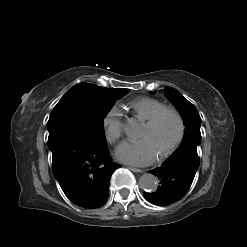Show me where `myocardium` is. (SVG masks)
Listing matches in <instances>:
<instances>
[{"mask_svg":"<svg viewBox=\"0 0 247 247\" xmlns=\"http://www.w3.org/2000/svg\"><path fill=\"white\" fill-rule=\"evenodd\" d=\"M167 115H171L175 118L177 122V133L172 142L159 153L160 158H165L169 156L182 142L185 135L184 118L177 109L172 107H164L163 109L155 113L151 118L146 120L144 123V125H146L147 127L153 128L161 121L163 117Z\"/></svg>","mask_w":247,"mask_h":247,"instance_id":"1","label":"myocardium"}]
</instances>
